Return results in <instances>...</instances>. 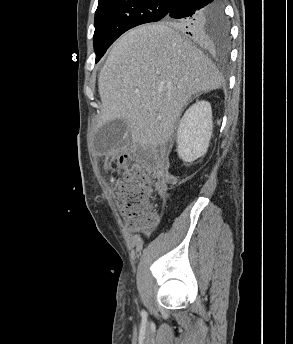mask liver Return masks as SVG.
<instances>
[{"mask_svg": "<svg viewBox=\"0 0 293 344\" xmlns=\"http://www.w3.org/2000/svg\"><path fill=\"white\" fill-rule=\"evenodd\" d=\"M212 61L173 27L148 24L122 35L102 68V122L123 119L133 144L164 146L192 95L221 87Z\"/></svg>", "mask_w": 293, "mask_h": 344, "instance_id": "1", "label": "liver"}]
</instances>
